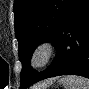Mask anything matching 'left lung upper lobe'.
Wrapping results in <instances>:
<instances>
[{
    "mask_svg": "<svg viewBox=\"0 0 89 89\" xmlns=\"http://www.w3.org/2000/svg\"><path fill=\"white\" fill-rule=\"evenodd\" d=\"M71 0H15V34L22 63L20 89L29 87L37 75L30 66L35 48L43 42L54 44L60 23Z\"/></svg>",
    "mask_w": 89,
    "mask_h": 89,
    "instance_id": "obj_1",
    "label": "left lung upper lobe"
}]
</instances>
